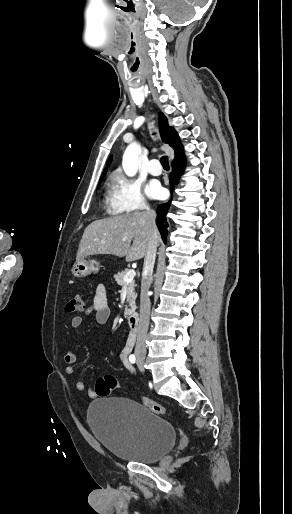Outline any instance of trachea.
Masks as SVG:
<instances>
[{
	"label": "trachea",
	"instance_id": "1",
	"mask_svg": "<svg viewBox=\"0 0 292 514\" xmlns=\"http://www.w3.org/2000/svg\"><path fill=\"white\" fill-rule=\"evenodd\" d=\"M160 162H161V165L163 166V168L165 170H169L170 167H169V162H168V157L166 155L162 156L160 158Z\"/></svg>",
	"mask_w": 292,
	"mask_h": 514
}]
</instances>
